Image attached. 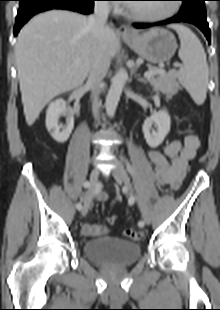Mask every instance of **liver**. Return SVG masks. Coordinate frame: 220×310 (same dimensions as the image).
<instances>
[{"instance_id": "6515ba94", "label": "liver", "mask_w": 220, "mask_h": 310, "mask_svg": "<svg viewBox=\"0 0 220 310\" xmlns=\"http://www.w3.org/2000/svg\"><path fill=\"white\" fill-rule=\"evenodd\" d=\"M106 42L111 59L118 41L110 27ZM92 43L88 19L70 11L41 13L21 29L15 57L29 126L54 97L83 85L90 70Z\"/></svg>"}]
</instances>
